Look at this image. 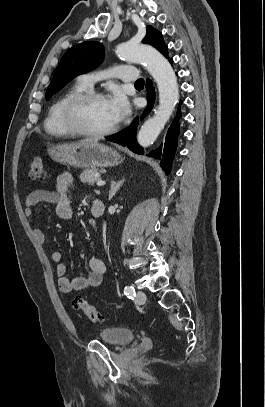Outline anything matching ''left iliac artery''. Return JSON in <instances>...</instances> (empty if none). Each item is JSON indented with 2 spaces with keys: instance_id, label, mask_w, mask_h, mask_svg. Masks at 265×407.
<instances>
[{
  "instance_id": "left-iliac-artery-1",
  "label": "left iliac artery",
  "mask_w": 265,
  "mask_h": 407,
  "mask_svg": "<svg viewBox=\"0 0 265 407\" xmlns=\"http://www.w3.org/2000/svg\"><path fill=\"white\" fill-rule=\"evenodd\" d=\"M124 294H125L126 296H128V298H133V297L136 295L134 287H132V286H126V287L124 288Z\"/></svg>"
}]
</instances>
